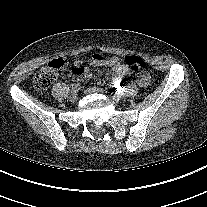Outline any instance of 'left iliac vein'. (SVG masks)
<instances>
[{
	"mask_svg": "<svg viewBox=\"0 0 207 207\" xmlns=\"http://www.w3.org/2000/svg\"><path fill=\"white\" fill-rule=\"evenodd\" d=\"M87 93H103L104 90L103 89H100V88H96V87H92V88H88L86 90ZM111 101L114 103V104H118L120 102V98L117 97V96H113L111 97Z\"/></svg>",
	"mask_w": 207,
	"mask_h": 207,
	"instance_id": "obj_1",
	"label": "left iliac vein"
}]
</instances>
